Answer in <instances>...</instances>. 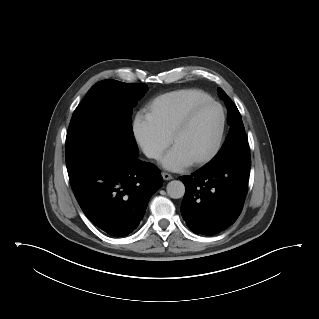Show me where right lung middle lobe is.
I'll use <instances>...</instances> for the list:
<instances>
[{
	"instance_id": "obj_1",
	"label": "right lung middle lobe",
	"mask_w": 319,
	"mask_h": 319,
	"mask_svg": "<svg viewBox=\"0 0 319 319\" xmlns=\"http://www.w3.org/2000/svg\"><path fill=\"white\" fill-rule=\"evenodd\" d=\"M147 85L103 80L96 83L75 109L66 137L69 178L94 156L110 148L138 153L132 131V108Z\"/></svg>"
}]
</instances>
